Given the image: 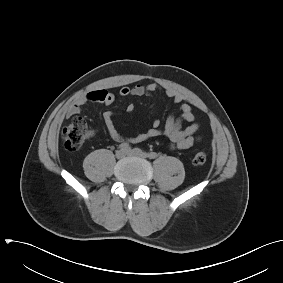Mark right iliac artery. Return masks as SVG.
Returning <instances> with one entry per match:
<instances>
[{
	"mask_svg": "<svg viewBox=\"0 0 283 283\" xmlns=\"http://www.w3.org/2000/svg\"><path fill=\"white\" fill-rule=\"evenodd\" d=\"M119 149L124 150V151H128L131 149L130 145L128 143H121L119 145Z\"/></svg>",
	"mask_w": 283,
	"mask_h": 283,
	"instance_id": "right-iliac-artery-1",
	"label": "right iliac artery"
}]
</instances>
